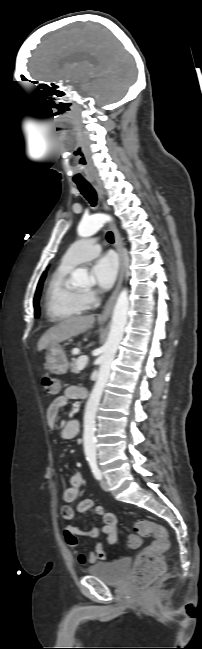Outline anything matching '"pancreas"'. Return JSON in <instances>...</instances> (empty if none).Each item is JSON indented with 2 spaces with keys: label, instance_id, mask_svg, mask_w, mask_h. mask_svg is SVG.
Listing matches in <instances>:
<instances>
[{
  "label": "pancreas",
  "instance_id": "pancreas-1",
  "mask_svg": "<svg viewBox=\"0 0 202 649\" xmlns=\"http://www.w3.org/2000/svg\"><path fill=\"white\" fill-rule=\"evenodd\" d=\"M77 361H78L77 359H74L70 364L71 372L74 374L80 373V370L78 369Z\"/></svg>",
  "mask_w": 202,
  "mask_h": 649
}]
</instances>
